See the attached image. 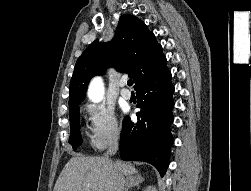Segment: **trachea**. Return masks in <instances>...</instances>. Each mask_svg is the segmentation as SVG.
Segmentation results:
<instances>
[{"label":"trachea","instance_id":"trachea-1","mask_svg":"<svg viewBox=\"0 0 251 191\" xmlns=\"http://www.w3.org/2000/svg\"><path fill=\"white\" fill-rule=\"evenodd\" d=\"M127 84H128V86H132L133 85V80H128Z\"/></svg>","mask_w":251,"mask_h":191}]
</instances>
